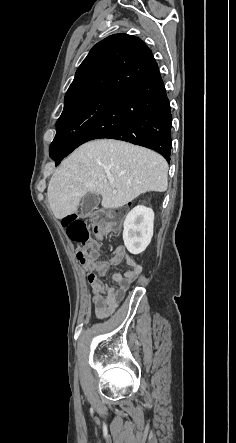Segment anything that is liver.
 Returning <instances> with one entry per match:
<instances>
[{
  "label": "liver",
  "instance_id": "liver-1",
  "mask_svg": "<svg viewBox=\"0 0 236 443\" xmlns=\"http://www.w3.org/2000/svg\"><path fill=\"white\" fill-rule=\"evenodd\" d=\"M167 185L168 164L160 154L102 139L83 144L61 163L49 181L47 197L54 216L62 219L77 211L87 193L100 194L104 208H120L142 193L164 192Z\"/></svg>",
  "mask_w": 236,
  "mask_h": 443
}]
</instances>
